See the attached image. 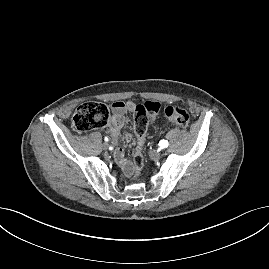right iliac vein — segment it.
<instances>
[{
  "mask_svg": "<svg viewBox=\"0 0 269 269\" xmlns=\"http://www.w3.org/2000/svg\"><path fill=\"white\" fill-rule=\"evenodd\" d=\"M108 147H109V144H108L107 142H104V143L102 144V148H103L104 150H107Z\"/></svg>",
  "mask_w": 269,
  "mask_h": 269,
  "instance_id": "63e3f726",
  "label": "right iliac vein"
}]
</instances>
